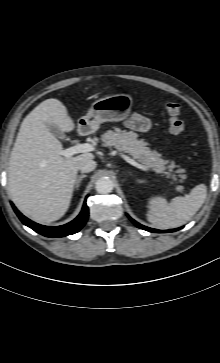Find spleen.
<instances>
[{
	"mask_svg": "<svg viewBox=\"0 0 220 363\" xmlns=\"http://www.w3.org/2000/svg\"><path fill=\"white\" fill-rule=\"evenodd\" d=\"M207 197L205 184L195 186L189 195L175 197L170 203L155 196L149 200L148 220L159 229L179 227L189 221L203 205Z\"/></svg>",
	"mask_w": 220,
	"mask_h": 363,
	"instance_id": "3e777b00",
	"label": "spleen"
}]
</instances>
